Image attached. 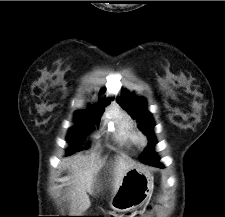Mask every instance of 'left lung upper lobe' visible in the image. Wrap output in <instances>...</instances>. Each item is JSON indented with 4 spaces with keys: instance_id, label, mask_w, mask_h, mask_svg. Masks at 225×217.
I'll use <instances>...</instances> for the list:
<instances>
[{
    "instance_id": "1",
    "label": "left lung upper lobe",
    "mask_w": 225,
    "mask_h": 217,
    "mask_svg": "<svg viewBox=\"0 0 225 217\" xmlns=\"http://www.w3.org/2000/svg\"><path fill=\"white\" fill-rule=\"evenodd\" d=\"M122 94L125 98L118 97L117 100L120 105L125 108L131 116L139 123V128L145 132L149 138V142L154 140L153 127L155 126L153 118L147 110H145V100L141 98H132L129 101L130 96L126 90H122ZM145 151L140 156V159L145 157Z\"/></svg>"
}]
</instances>
